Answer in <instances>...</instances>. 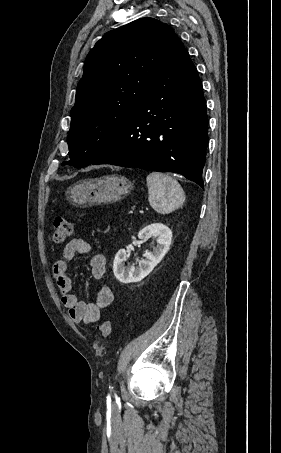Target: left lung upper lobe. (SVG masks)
<instances>
[{
    "label": "left lung upper lobe",
    "instance_id": "5c2ea615",
    "mask_svg": "<svg viewBox=\"0 0 281 453\" xmlns=\"http://www.w3.org/2000/svg\"><path fill=\"white\" fill-rule=\"evenodd\" d=\"M176 38L154 18L106 33L89 52L70 112V164H92L121 133L166 63Z\"/></svg>",
    "mask_w": 281,
    "mask_h": 453
}]
</instances>
